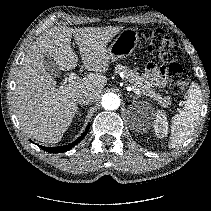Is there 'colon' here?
<instances>
[{"instance_id":"1","label":"colon","mask_w":211,"mask_h":211,"mask_svg":"<svg viewBox=\"0 0 211 211\" xmlns=\"http://www.w3.org/2000/svg\"><path fill=\"white\" fill-rule=\"evenodd\" d=\"M144 36L149 51L168 63L167 77L171 91L182 93L189 84L190 75L178 64L183 56L178 41L160 29L148 30Z\"/></svg>"}]
</instances>
